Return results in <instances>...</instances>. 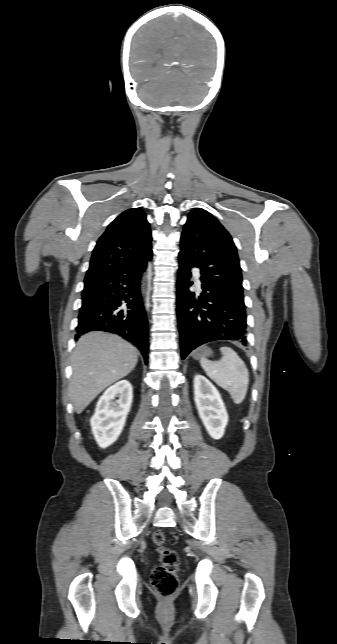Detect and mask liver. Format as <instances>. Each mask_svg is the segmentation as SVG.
<instances>
[{
  "mask_svg": "<svg viewBox=\"0 0 337 644\" xmlns=\"http://www.w3.org/2000/svg\"><path fill=\"white\" fill-rule=\"evenodd\" d=\"M138 350L122 338L103 332L82 336L72 355L69 384L74 410L80 414L105 388L136 366Z\"/></svg>",
  "mask_w": 337,
  "mask_h": 644,
  "instance_id": "liver-1",
  "label": "liver"
}]
</instances>
